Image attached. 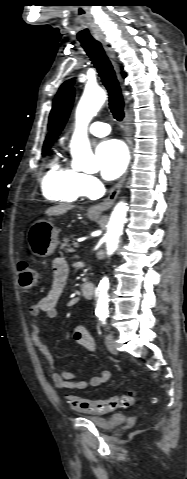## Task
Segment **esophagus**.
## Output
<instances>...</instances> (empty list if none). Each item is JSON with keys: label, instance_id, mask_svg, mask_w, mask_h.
<instances>
[{"label": "esophagus", "instance_id": "34e87169", "mask_svg": "<svg viewBox=\"0 0 187 479\" xmlns=\"http://www.w3.org/2000/svg\"><path fill=\"white\" fill-rule=\"evenodd\" d=\"M102 46L104 47L108 57L112 61L113 65L117 69V64L115 61V52L108 42H106L104 39L100 40ZM124 130H125V136H126V141L128 143L129 151L130 153L132 152V140H131V116L129 115L128 112H126L125 119H124ZM128 173V169L126 170L125 174L121 178V180L111 189L108 197L103 200L102 202L95 204L89 208V213L99 215L102 212L108 210L109 208L112 207L114 204L116 198L118 197L120 190L125 182L126 176Z\"/></svg>", "mask_w": 187, "mask_h": 479}]
</instances>
